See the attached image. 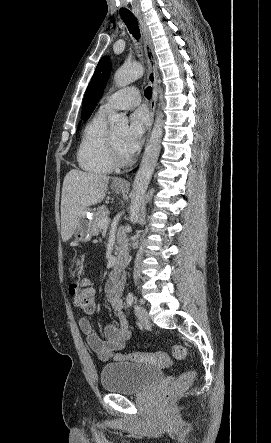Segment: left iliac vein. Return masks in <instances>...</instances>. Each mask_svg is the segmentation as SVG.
<instances>
[{
  "label": "left iliac vein",
  "instance_id": "left-iliac-vein-1",
  "mask_svg": "<svg viewBox=\"0 0 271 443\" xmlns=\"http://www.w3.org/2000/svg\"><path fill=\"white\" fill-rule=\"evenodd\" d=\"M134 308H135V314H136L138 320L140 321V323L143 326H149L150 318H149L147 310L138 304H136L134 306Z\"/></svg>",
  "mask_w": 271,
  "mask_h": 443
}]
</instances>
